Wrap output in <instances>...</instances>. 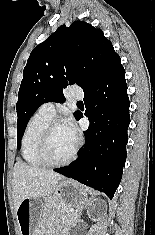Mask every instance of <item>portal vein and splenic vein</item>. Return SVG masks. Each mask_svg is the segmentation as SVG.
I'll return each instance as SVG.
<instances>
[{
    "mask_svg": "<svg viewBox=\"0 0 155 235\" xmlns=\"http://www.w3.org/2000/svg\"><path fill=\"white\" fill-rule=\"evenodd\" d=\"M71 212H73L74 210L73 209H70Z\"/></svg>",
    "mask_w": 155,
    "mask_h": 235,
    "instance_id": "18ae733b",
    "label": "portal vein and splenic vein"
}]
</instances>
